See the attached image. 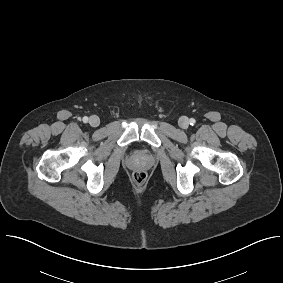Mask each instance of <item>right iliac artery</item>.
Returning <instances> with one entry per match:
<instances>
[{"label":"right iliac artery","instance_id":"1","mask_svg":"<svg viewBox=\"0 0 283 283\" xmlns=\"http://www.w3.org/2000/svg\"><path fill=\"white\" fill-rule=\"evenodd\" d=\"M82 120H83L84 123H87L88 122V117L85 116V117H83Z\"/></svg>","mask_w":283,"mask_h":283}]
</instances>
